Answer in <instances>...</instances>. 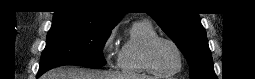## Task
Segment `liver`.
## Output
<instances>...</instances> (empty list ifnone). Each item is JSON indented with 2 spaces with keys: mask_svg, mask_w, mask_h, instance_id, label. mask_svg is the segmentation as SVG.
<instances>
[{
  "mask_svg": "<svg viewBox=\"0 0 255 79\" xmlns=\"http://www.w3.org/2000/svg\"><path fill=\"white\" fill-rule=\"evenodd\" d=\"M41 79H152L150 76H127L72 66L58 67L46 72Z\"/></svg>",
  "mask_w": 255,
  "mask_h": 79,
  "instance_id": "6515ba94",
  "label": "liver"
}]
</instances>
